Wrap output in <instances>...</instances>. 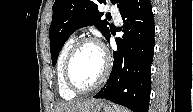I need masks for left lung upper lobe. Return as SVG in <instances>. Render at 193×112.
Returning <instances> with one entry per match:
<instances>
[{
	"label": "left lung upper lobe",
	"mask_w": 193,
	"mask_h": 112,
	"mask_svg": "<svg viewBox=\"0 0 193 112\" xmlns=\"http://www.w3.org/2000/svg\"><path fill=\"white\" fill-rule=\"evenodd\" d=\"M117 4L119 11L131 0H110ZM106 0H55L53 4L52 23L49 29L50 53L53 66L58 54L69 36L77 29L94 25L107 39L110 34L109 23L102 20L103 13L98 11V4Z\"/></svg>",
	"instance_id": "5c2ea615"
}]
</instances>
